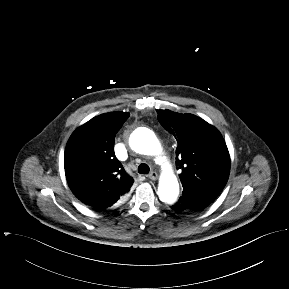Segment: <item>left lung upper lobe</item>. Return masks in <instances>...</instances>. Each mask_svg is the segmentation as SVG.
Instances as JSON below:
<instances>
[{"instance_id":"5c2ea615","label":"left lung upper lobe","mask_w":289,"mask_h":289,"mask_svg":"<svg viewBox=\"0 0 289 289\" xmlns=\"http://www.w3.org/2000/svg\"><path fill=\"white\" fill-rule=\"evenodd\" d=\"M160 124L177 140L176 166L183 196L213 202L225 187L230 156L220 132L193 114L157 110Z\"/></svg>"}]
</instances>
